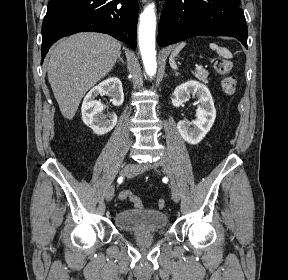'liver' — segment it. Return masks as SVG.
Wrapping results in <instances>:
<instances>
[{"label":"liver","instance_id":"obj_1","mask_svg":"<svg viewBox=\"0 0 288 280\" xmlns=\"http://www.w3.org/2000/svg\"><path fill=\"white\" fill-rule=\"evenodd\" d=\"M120 54L119 41L93 32L72 35L51 50L48 80L66 119H73L86 92L110 72Z\"/></svg>","mask_w":288,"mask_h":280}]
</instances>
